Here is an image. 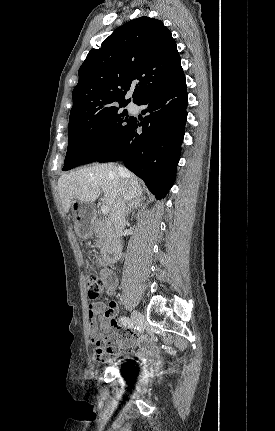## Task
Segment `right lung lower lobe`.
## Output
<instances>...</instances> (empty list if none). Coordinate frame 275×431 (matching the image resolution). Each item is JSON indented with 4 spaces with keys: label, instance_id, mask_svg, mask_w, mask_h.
I'll return each mask as SVG.
<instances>
[{
    "label": "right lung lower lobe",
    "instance_id": "obj_1",
    "mask_svg": "<svg viewBox=\"0 0 275 431\" xmlns=\"http://www.w3.org/2000/svg\"><path fill=\"white\" fill-rule=\"evenodd\" d=\"M137 104L147 105L142 111L147 113L144 120L134 118L120 139L97 161L122 160L161 199L174 183L185 133L188 94L183 70ZM140 126L143 130L138 133Z\"/></svg>",
    "mask_w": 275,
    "mask_h": 431
}]
</instances>
